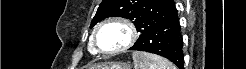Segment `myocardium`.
<instances>
[{
    "instance_id": "myocardium-1",
    "label": "myocardium",
    "mask_w": 246,
    "mask_h": 69,
    "mask_svg": "<svg viewBox=\"0 0 246 69\" xmlns=\"http://www.w3.org/2000/svg\"><path fill=\"white\" fill-rule=\"evenodd\" d=\"M111 23L120 24L123 27H125L127 29V32H128V38L125 41V43H123L119 47L115 48L114 50L104 51L100 48L97 37H98L99 31L102 28H104L106 25L111 24ZM136 38H137V32H136V28H135L134 24L129 19L123 18V17H118V16L111 17V18L104 20L102 23H100L95 28V30L93 32V42H94L95 46L98 48L99 53H101V54H114V53H119L121 51L127 50L128 48H130L134 44V42L136 41Z\"/></svg>"
}]
</instances>
